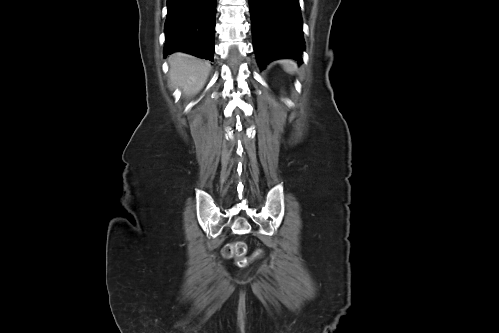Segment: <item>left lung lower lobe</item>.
<instances>
[{"label": "left lung lower lobe", "instance_id": "0a47b994", "mask_svg": "<svg viewBox=\"0 0 499 333\" xmlns=\"http://www.w3.org/2000/svg\"><path fill=\"white\" fill-rule=\"evenodd\" d=\"M252 36L262 69L272 60L302 63L304 40L299 0H249Z\"/></svg>", "mask_w": 499, "mask_h": 333}]
</instances>
